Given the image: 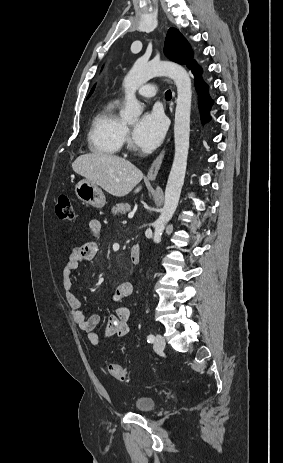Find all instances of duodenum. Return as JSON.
Segmentation results:
<instances>
[{
    "mask_svg": "<svg viewBox=\"0 0 283 463\" xmlns=\"http://www.w3.org/2000/svg\"><path fill=\"white\" fill-rule=\"evenodd\" d=\"M140 261V247L134 244L130 251V262L132 265H137Z\"/></svg>",
    "mask_w": 283,
    "mask_h": 463,
    "instance_id": "410a0bca",
    "label": "duodenum"
}]
</instances>
